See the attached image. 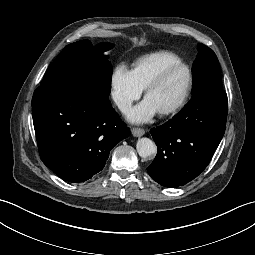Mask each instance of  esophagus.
<instances>
[{"mask_svg": "<svg viewBox=\"0 0 255 255\" xmlns=\"http://www.w3.org/2000/svg\"><path fill=\"white\" fill-rule=\"evenodd\" d=\"M131 132L135 137H141L145 134V130L142 128H132Z\"/></svg>", "mask_w": 255, "mask_h": 255, "instance_id": "1", "label": "esophagus"}]
</instances>
